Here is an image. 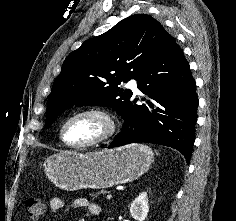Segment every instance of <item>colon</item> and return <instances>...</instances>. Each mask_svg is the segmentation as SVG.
Listing matches in <instances>:
<instances>
[{"label":"colon","mask_w":236,"mask_h":221,"mask_svg":"<svg viewBox=\"0 0 236 221\" xmlns=\"http://www.w3.org/2000/svg\"><path fill=\"white\" fill-rule=\"evenodd\" d=\"M29 218L37 221L44 213L45 205L39 198H28L24 203Z\"/></svg>","instance_id":"1"}]
</instances>
